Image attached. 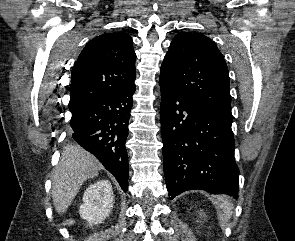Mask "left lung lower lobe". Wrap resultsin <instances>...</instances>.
<instances>
[{
    "instance_id": "left-lung-lower-lobe-1",
    "label": "left lung lower lobe",
    "mask_w": 295,
    "mask_h": 241,
    "mask_svg": "<svg viewBox=\"0 0 295 241\" xmlns=\"http://www.w3.org/2000/svg\"><path fill=\"white\" fill-rule=\"evenodd\" d=\"M164 174L171 198L201 189L237 198L239 170L232 121L160 78Z\"/></svg>"
}]
</instances>
